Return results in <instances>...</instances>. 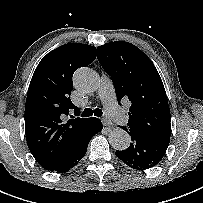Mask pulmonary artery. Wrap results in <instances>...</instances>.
I'll return each mask as SVG.
<instances>
[{
	"label": "pulmonary artery",
	"mask_w": 203,
	"mask_h": 203,
	"mask_svg": "<svg viewBox=\"0 0 203 203\" xmlns=\"http://www.w3.org/2000/svg\"><path fill=\"white\" fill-rule=\"evenodd\" d=\"M99 94L106 109V112L110 118L119 124L126 125L128 122V117L124 113V111L119 107L115 90L112 82L106 76L102 77L100 86H99Z\"/></svg>",
	"instance_id": "pulmonary-artery-1"
}]
</instances>
